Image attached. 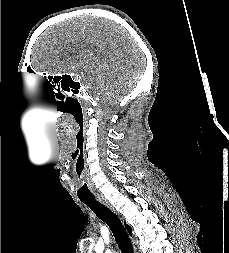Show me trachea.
Masks as SVG:
<instances>
[{"label":"trachea","instance_id":"1","mask_svg":"<svg viewBox=\"0 0 229 253\" xmlns=\"http://www.w3.org/2000/svg\"><path fill=\"white\" fill-rule=\"evenodd\" d=\"M80 200L109 226L122 253H134L131 240L116 214L96 201L93 196L80 198Z\"/></svg>","mask_w":229,"mask_h":253}]
</instances>
